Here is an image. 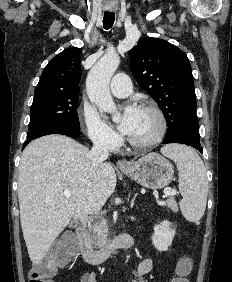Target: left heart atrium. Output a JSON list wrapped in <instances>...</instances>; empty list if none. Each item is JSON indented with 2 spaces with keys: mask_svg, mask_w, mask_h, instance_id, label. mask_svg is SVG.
Masks as SVG:
<instances>
[{
  "mask_svg": "<svg viewBox=\"0 0 232 282\" xmlns=\"http://www.w3.org/2000/svg\"><path fill=\"white\" fill-rule=\"evenodd\" d=\"M140 111L141 109L136 104H133V103H130L124 107L123 113H122V116H121V119L118 125L119 130L123 134L129 135L133 131L139 119Z\"/></svg>",
  "mask_w": 232,
  "mask_h": 282,
  "instance_id": "left-heart-atrium-1",
  "label": "left heart atrium"
}]
</instances>
